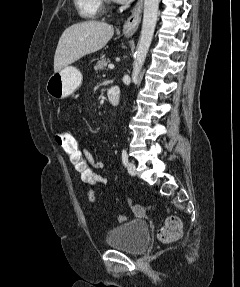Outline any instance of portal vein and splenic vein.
Masks as SVG:
<instances>
[{
    "label": "portal vein and splenic vein",
    "mask_w": 240,
    "mask_h": 287,
    "mask_svg": "<svg viewBox=\"0 0 240 287\" xmlns=\"http://www.w3.org/2000/svg\"><path fill=\"white\" fill-rule=\"evenodd\" d=\"M108 68H109V69H114V65H113V64H109V65H108Z\"/></svg>",
    "instance_id": "18ae733b"
}]
</instances>
